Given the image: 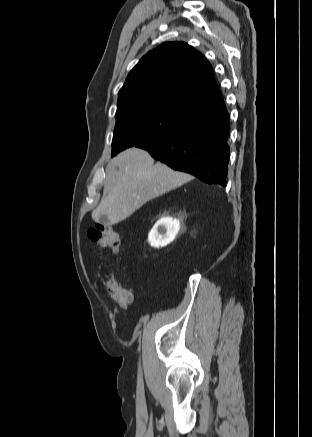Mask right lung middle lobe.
I'll list each match as a JSON object with an SVG mask.
<instances>
[{
	"mask_svg": "<svg viewBox=\"0 0 312 437\" xmlns=\"http://www.w3.org/2000/svg\"><path fill=\"white\" fill-rule=\"evenodd\" d=\"M194 115L193 111L159 102L118 109L112 156L128 147H139L167 137L187 124Z\"/></svg>",
	"mask_w": 312,
	"mask_h": 437,
	"instance_id": "1",
	"label": "right lung middle lobe"
}]
</instances>
